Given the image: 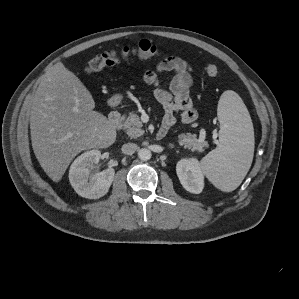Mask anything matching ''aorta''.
<instances>
[{
	"mask_svg": "<svg viewBox=\"0 0 299 299\" xmlns=\"http://www.w3.org/2000/svg\"><path fill=\"white\" fill-rule=\"evenodd\" d=\"M151 156H152L151 151L149 149H147V148H141L138 151V157L142 161L150 160Z\"/></svg>",
	"mask_w": 299,
	"mask_h": 299,
	"instance_id": "obj_1",
	"label": "aorta"
}]
</instances>
